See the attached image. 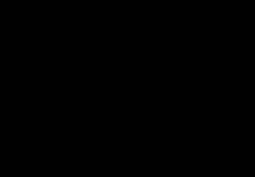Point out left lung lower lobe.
Segmentation results:
<instances>
[{
    "instance_id": "0a47b994",
    "label": "left lung lower lobe",
    "mask_w": 255,
    "mask_h": 177,
    "mask_svg": "<svg viewBox=\"0 0 255 177\" xmlns=\"http://www.w3.org/2000/svg\"><path fill=\"white\" fill-rule=\"evenodd\" d=\"M165 108V107H164ZM159 121L162 124L164 130L168 131L170 128V125L173 121V116L171 113H168L166 111H162L159 115Z\"/></svg>"
}]
</instances>
